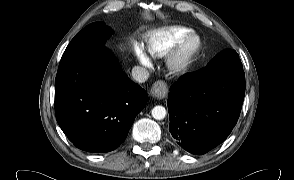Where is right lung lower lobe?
Here are the masks:
<instances>
[{"label":"right lung lower lobe","mask_w":294,"mask_h":180,"mask_svg":"<svg viewBox=\"0 0 294 180\" xmlns=\"http://www.w3.org/2000/svg\"><path fill=\"white\" fill-rule=\"evenodd\" d=\"M148 95L103 46L62 57L55 79V115L68 139L88 152L124 142Z\"/></svg>","instance_id":"obj_1"}]
</instances>
